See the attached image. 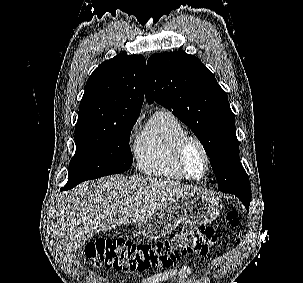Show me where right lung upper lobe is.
I'll return each instance as SVG.
<instances>
[{
  "mask_svg": "<svg viewBox=\"0 0 303 283\" xmlns=\"http://www.w3.org/2000/svg\"><path fill=\"white\" fill-rule=\"evenodd\" d=\"M146 60L118 54L89 77L80 102L77 124L117 125L137 120L144 100Z\"/></svg>",
  "mask_w": 303,
  "mask_h": 283,
  "instance_id": "right-lung-upper-lobe-1",
  "label": "right lung upper lobe"
}]
</instances>
